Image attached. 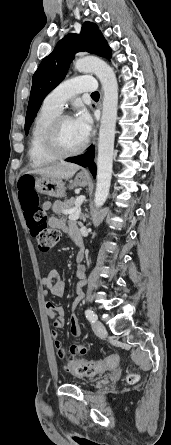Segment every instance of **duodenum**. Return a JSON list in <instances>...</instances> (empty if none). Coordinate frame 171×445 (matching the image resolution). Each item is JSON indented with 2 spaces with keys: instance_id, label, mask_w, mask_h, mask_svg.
I'll return each mask as SVG.
<instances>
[{
  "instance_id": "410a0bca",
  "label": "duodenum",
  "mask_w": 171,
  "mask_h": 445,
  "mask_svg": "<svg viewBox=\"0 0 171 445\" xmlns=\"http://www.w3.org/2000/svg\"><path fill=\"white\" fill-rule=\"evenodd\" d=\"M74 240H75L76 245L79 248H83L84 247V241H83V239H82V237L80 235H75L74 236ZM82 258H83V256H82V254H80L78 259L82 260Z\"/></svg>"
}]
</instances>
